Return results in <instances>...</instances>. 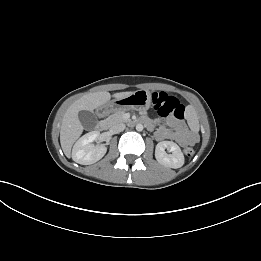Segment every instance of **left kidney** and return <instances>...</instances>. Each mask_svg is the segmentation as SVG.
I'll return each instance as SVG.
<instances>
[{
	"mask_svg": "<svg viewBox=\"0 0 261 261\" xmlns=\"http://www.w3.org/2000/svg\"><path fill=\"white\" fill-rule=\"evenodd\" d=\"M165 149L172 154H167ZM155 157L161 165L174 169L180 168L184 164V155L180 147L172 141L159 142L155 148Z\"/></svg>",
	"mask_w": 261,
	"mask_h": 261,
	"instance_id": "1",
	"label": "left kidney"
}]
</instances>
